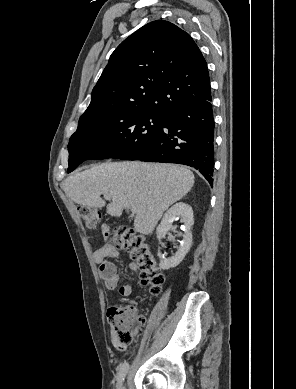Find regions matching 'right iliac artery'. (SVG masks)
<instances>
[{
    "instance_id": "right-iliac-artery-1",
    "label": "right iliac artery",
    "mask_w": 296,
    "mask_h": 389,
    "mask_svg": "<svg viewBox=\"0 0 296 389\" xmlns=\"http://www.w3.org/2000/svg\"><path fill=\"white\" fill-rule=\"evenodd\" d=\"M128 369H129V364H128L127 362H125V363L121 366V368H120V370H119V373H118V378H117V380H118V385H120V384L124 381V378H125V376H126V374H127V372H128Z\"/></svg>"
}]
</instances>
